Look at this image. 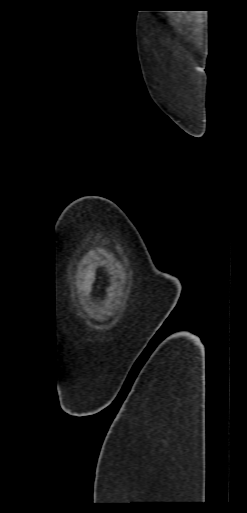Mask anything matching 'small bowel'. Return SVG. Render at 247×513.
<instances>
[{"instance_id": "small-bowel-1", "label": "small bowel", "mask_w": 247, "mask_h": 513, "mask_svg": "<svg viewBox=\"0 0 247 513\" xmlns=\"http://www.w3.org/2000/svg\"><path fill=\"white\" fill-rule=\"evenodd\" d=\"M75 285L80 293H87L92 285L91 271L84 267L80 269L76 275Z\"/></svg>"}]
</instances>
